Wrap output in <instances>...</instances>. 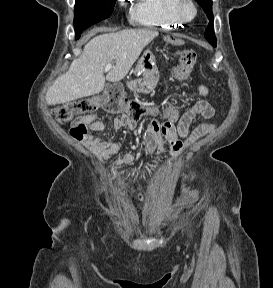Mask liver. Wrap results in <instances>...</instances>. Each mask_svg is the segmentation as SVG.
I'll use <instances>...</instances> for the list:
<instances>
[{
	"label": "liver",
	"mask_w": 273,
	"mask_h": 288,
	"mask_svg": "<svg viewBox=\"0 0 273 288\" xmlns=\"http://www.w3.org/2000/svg\"><path fill=\"white\" fill-rule=\"evenodd\" d=\"M107 31V30H105ZM159 35L151 29H125L98 35L84 47L69 70L46 93L48 105L64 104L100 93L105 81L118 82L130 71L142 50ZM114 66L104 76V67Z\"/></svg>",
	"instance_id": "liver-1"
}]
</instances>
